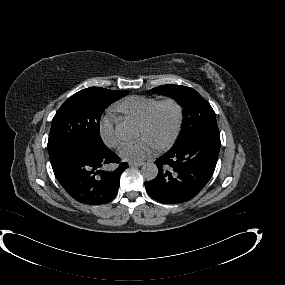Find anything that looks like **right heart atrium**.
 I'll use <instances>...</instances> for the list:
<instances>
[{"mask_svg": "<svg viewBox=\"0 0 285 285\" xmlns=\"http://www.w3.org/2000/svg\"><path fill=\"white\" fill-rule=\"evenodd\" d=\"M117 120L114 116H106L100 125L103 140L108 146L114 147L121 141V134L117 131Z\"/></svg>", "mask_w": 285, "mask_h": 285, "instance_id": "obj_1", "label": "right heart atrium"}]
</instances>
